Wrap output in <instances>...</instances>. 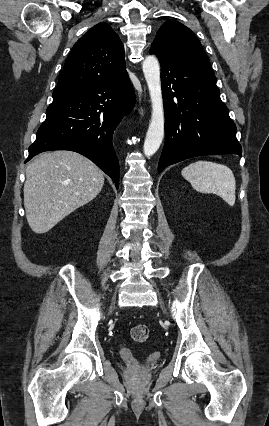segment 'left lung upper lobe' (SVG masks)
<instances>
[{
  "label": "left lung upper lobe",
  "mask_w": 269,
  "mask_h": 426,
  "mask_svg": "<svg viewBox=\"0 0 269 426\" xmlns=\"http://www.w3.org/2000/svg\"><path fill=\"white\" fill-rule=\"evenodd\" d=\"M150 51L162 57L180 60L214 73L195 34L176 20H168L163 23L156 34Z\"/></svg>",
  "instance_id": "obj_1"
}]
</instances>
